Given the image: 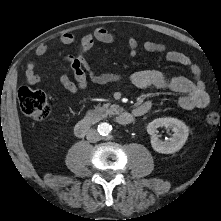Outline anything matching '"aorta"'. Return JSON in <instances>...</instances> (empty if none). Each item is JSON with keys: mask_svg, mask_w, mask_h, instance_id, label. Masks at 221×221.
Segmentation results:
<instances>
[{"mask_svg": "<svg viewBox=\"0 0 221 221\" xmlns=\"http://www.w3.org/2000/svg\"><path fill=\"white\" fill-rule=\"evenodd\" d=\"M111 130H112V127L108 123H101L98 126V132L102 136H107L111 132Z\"/></svg>", "mask_w": 221, "mask_h": 221, "instance_id": "aorta-1", "label": "aorta"}]
</instances>
